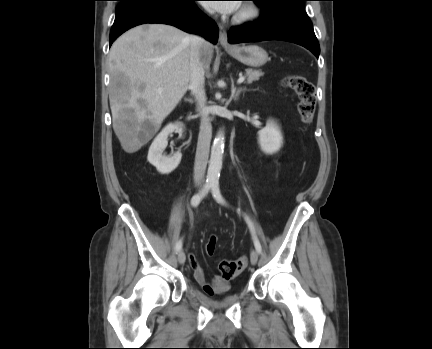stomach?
<instances>
[{"instance_id":"1","label":"stomach","mask_w":432,"mask_h":349,"mask_svg":"<svg viewBox=\"0 0 432 349\" xmlns=\"http://www.w3.org/2000/svg\"><path fill=\"white\" fill-rule=\"evenodd\" d=\"M227 53L250 67H260L268 61L267 52L257 45H242L226 49Z\"/></svg>"}]
</instances>
